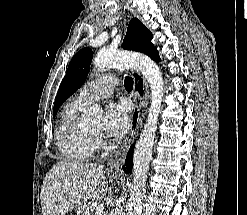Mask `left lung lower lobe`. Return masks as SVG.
I'll list each match as a JSON object with an SVG mask.
<instances>
[{"mask_svg":"<svg viewBox=\"0 0 247 215\" xmlns=\"http://www.w3.org/2000/svg\"><path fill=\"white\" fill-rule=\"evenodd\" d=\"M150 57L155 61H160V57L157 50Z\"/></svg>","mask_w":247,"mask_h":215,"instance_id":"1","label":"left lung lower lobe"}]
</instances>
